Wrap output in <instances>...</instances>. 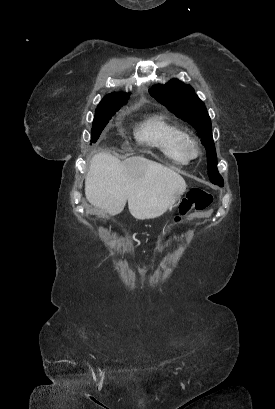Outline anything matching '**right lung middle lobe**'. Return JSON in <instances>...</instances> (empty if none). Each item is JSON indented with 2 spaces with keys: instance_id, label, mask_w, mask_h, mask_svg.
<instances>
[{
  "instance_id": "obj_1",
  "label": "right lung middle lobe",
  "mask_w": 275,
  "mask_h": 409,
  "mask_svg": "<svg viewBox=\"0 0 275 409\" xmlns=\"http://www.w3.org/2000/svg\"><path fill=\"white\" fill-rule=\"evenodd\" d=\"M118 110H108L95 113V118L93 121L92 131H91V142L95 143L102 133L105 126L108 124L111 117Z\"/></svg>"
}]
</instances>
